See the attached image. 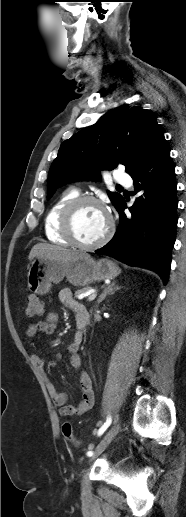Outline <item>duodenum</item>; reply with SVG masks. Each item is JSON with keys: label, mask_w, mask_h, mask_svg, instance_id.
<instances>
[{"label": "duodenum", "mask_w": 186, "mask_h": 517, "mask_svg": "<svg viewBox=\"0 0 186 517\" xmlns=\"http://www.w3.org/2000/svg\"><path fill=\"white\" fill-rule=\"evenodd\" d=\"M89 322H90V316H89V312L87 311V309L79 311V313L77 314V325H78V328L80 329V332H82V330H84L86 328V326L89 324Z\"/></svg>", "instance_id": "410a0bca"}]
</instances>
